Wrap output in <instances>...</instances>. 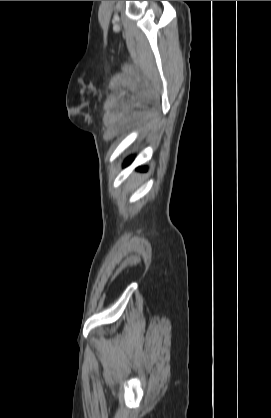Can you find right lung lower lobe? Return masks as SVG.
I'll use <instances>...</instances> for the list:
<instances>
[{
  "instance_id": "right-lung-lower-lobe-1",
  "label": "right lung lower lobe",
  "mask_w": 271,
  "mask_h": 418,
  "mask_svg": "<svg viewBox=\"0 0 271 418\" xmlns=\"http://www.w3.org/2000/svg\"><path fill=\"white\" fill-rule=\"evenodd\" d=\"M132 161H133V158H128V159L125 161L124 166L129 165ZM142 169H146V168H142Z\"/></svg>"
}]
</instances>
